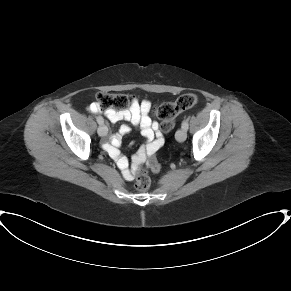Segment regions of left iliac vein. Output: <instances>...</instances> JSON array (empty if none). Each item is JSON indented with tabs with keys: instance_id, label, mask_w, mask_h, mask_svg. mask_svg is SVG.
<instances>
[{
	"instance_id": "obj_1",
	"label": "left iliac vein",
	"mask_w": 291,
	"mask_h": 291,
	"mask_svg": "<svg viewBox=\"0 0 291 291\" xmlns=\"http://www.w3.org/2000/svg\"><path fill=\"white\" fill-rule=\"evenodd\" d=\"M176 140L179 141V142H183L185 141L186 137H187V133H186V130L184 129H179L177 132H176Z\"/></svg>"
}]
</instances>
